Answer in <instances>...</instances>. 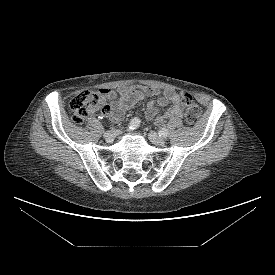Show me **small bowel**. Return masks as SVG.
Here are the masks:
<instances>
[{
  "label": "small bowel",
  "instance_id": "1",
  "mask_svg": "<svg viewBox=\"0 0 275 275\" xmlns=\"http://www.w3.org/2000/svg\"><path fill=\"white\" fill-rule=\"evenodd\" d=\"M105 99L109 102L103 111L113 122H119L123 115L137 102L157 96L146 104L145 116L160 124L165 121L180 119L183 114L182 95L173 89L158 90L153 87L136 85L121 86L117 90L101 89ZM168 109L159 114L158 106H167Z\"/></svg>",
  "mask_w": 275,
  "mask_h": 275
}]
</instances>
